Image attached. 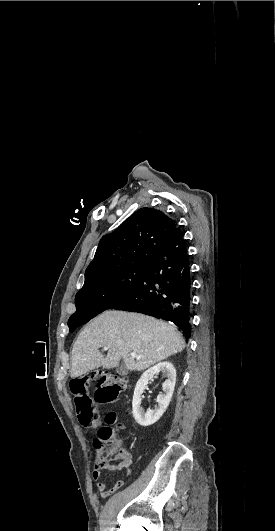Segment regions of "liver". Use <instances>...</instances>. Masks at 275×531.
<instances>
[{
	"instance_id": "obj_1",
	"label": "liver",
	"mask_w": 275,
	"mask_h": 531,
	"mask_svg": "<svg viewBox=\"0 0 275 531\" xmlns=\"http://www.w3.org/2000/svg\"><path fill=\"white\" fill-rule=\"evenodd\" d=\"M108 347L107 357L98 349ZM185 349L174 325L140 313L105 311L90 321L74 343L70 377H81L92 369H114L120 359L128 371H145ZM136 353L142 359H133Z\"/></svg>"
}]
</instances>
